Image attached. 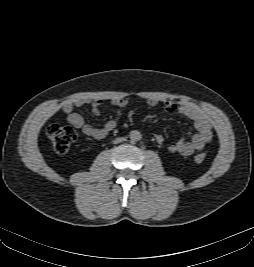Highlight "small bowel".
I'll return each instance as SVG.
<instances>
[{"instance_id":"small-bowel-1","label":"small bowel","mask_w":254,"mask_h":267,"mask_svg":"<svg viewBox=\"0 0 254 267\" xmlns=\"http://www.w3.org/2000/svg\"><path fill=\"white\" fill-rule=\"evenodd\" d=\"M147 105L154 107L158 105L159 101L154 98H150L146 101ZM112 104L118 109L115 116L105 122L101 127H94L85 122L83 116L76 111V107L84 105V101L78 100L74 103H67L63 107V111L66 116V121L80 129L85 135L102 139L111 133L117 126L121 116V109L125 108L128 104V100L125 97H118L112 100ZM102 101L96 100L90 104V111L93 115H99ZM163 108L168 113H177L180 116L190 119L194 123L196 133L191 135L189 140L181 139L169 146V151L172 153H178L184 156H190L196 151L202 150L206 144L212 139V127L207 116L196 106L191 104H179L176 105L171 101H164ZM157 141L161 143L163 138L158 135Z\"/></svg>"}]
</instances>
